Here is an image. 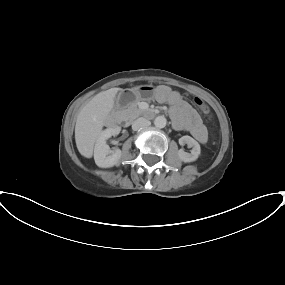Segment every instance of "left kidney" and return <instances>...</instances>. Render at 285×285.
<instances>
[{"label": "left kidney", "mask_w": 285, "mask_h": 285, "mask_svg": "<svg viewBox=\"0 0 285 285\" xmlns=\"http://www.w3.org/2000/svg\"><path fill=\"white\" fill-rule=\"evenodd\" d=\"M179 144L180 145L187 144L189 147L192 148L191 153H187L182 149L178 151V156L181 161L185 163H189V162L196 161L198 159L200 152H201V148H200L199 143L196 140L186 135V136H182L179 139Z\"/></svg>", "instance_id": "1"}]
</instances>
